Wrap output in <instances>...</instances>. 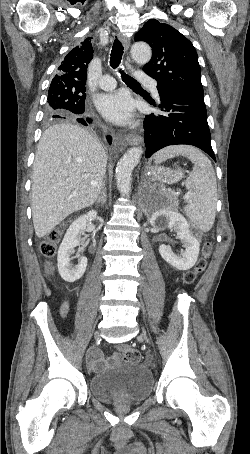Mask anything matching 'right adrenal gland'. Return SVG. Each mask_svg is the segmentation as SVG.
I'll use <instances>...</instances> for the list:
<instances>
[{
	"label": "right adrenal gland",
	"instance_id": "2a0ac1e0",
	"mask_svg": "<svg viewBox=\"0 0 250 454\" xmlns=\"http://www.w3.org/2000/svg\"><path fill=\"white\" fill-rule=\"evenodd\" d=\"M107 201V194H106V182L105 180L103 181L102 183V186H101V192H100V195L98 197V199L96 200V203H102V205H104Z\"/></svg>",
	"mask_w": 250,
	"mask_h": 454
}]
</instances>
